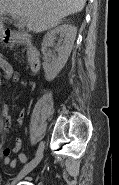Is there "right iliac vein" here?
<instances>
[{
    "instance_id": "right-iliac-vein-1",
    "label": "right iliac vein",
    "mask_w": 119,
    "mask_h": 185,
    "mask_svg": "<svg viewBox=\"0 0 119 185\" xmlns=\"http://www.w3.org/2000/svg\"><path fill=\"white\" fill-rule=\"evenodd\" d=\"M44 153V146L42 150L36 154V156L28 163L26 164L23 169L18 173V175L12 180L11 185H15L17 181H19L21 178H23L25 175H27L29 172H31L41 161Z\"/></svg>"
}]
</instances>
